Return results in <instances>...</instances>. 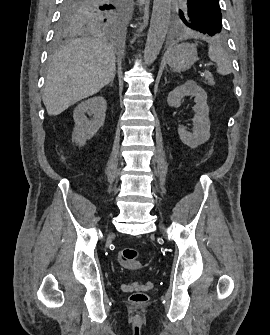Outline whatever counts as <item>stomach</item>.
Returning a JSON list of instances; mask_svg holds the SVG:
<instances>
[{"instance_id": "0dacf381", "label": "stomach", "mask_w": 270, "mask_h": 335, "mask_svg": "<svg viewBox=\"0 0 270 335\" xmlns=\"http://www.w3.org/2000/svg\"><path fill=\"white\" fill-rule=\"evenodd\" d=\"M167 64L170 68H173L175 72H185L189 70L190 66H193L194 62L198 60L197 58V44H188V42H183V44H177V46H172L166 52Z\"/></svg>"}]
</instances>
